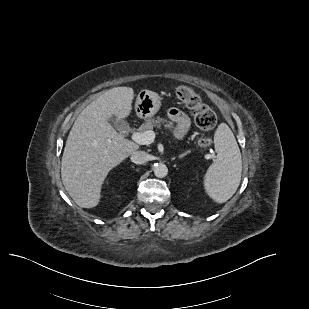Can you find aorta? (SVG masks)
<instances>
[{
    "label": "aorta",
    "mask_w": 309,
    "mask_h": 309,
    "mask_svg": "<svg viewBox=\"0 0 309 309\" xmlns=\"http://www.w3.org/2000/svg\"><path fill=\"white\" fill-rule=\"evenodd\" d=\"M153 171H154L155 176L158 178H163L168 174V168L163 163H157L154 166Z\"/></svg>",
    "instance_id": "1"
}]
</instances>
